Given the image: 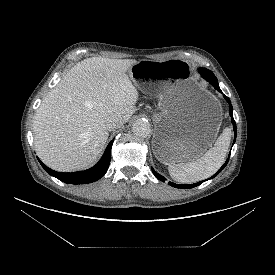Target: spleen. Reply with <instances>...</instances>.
Wrapping results in <instances>:
<instances>
[{"mask_svg": "<svg viewBox=\"0 0 275 275\" xmlns=\"http://www.w3.org/2000/svg\"><path fill=\"white\" fill-rule=\"evenodd\" d=\"M231 139V130L225 128L213 147L200 158L188 163H171L168 171L171 178L181 183H194L213 175L224 163Z\"/></svg>", "mask_w": 275, "mask_h": 275, "instance_id": "obj_1", "label": "spleen"}]
</instances>
